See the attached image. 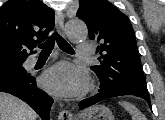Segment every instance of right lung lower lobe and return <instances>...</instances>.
I'll use <instances>...</instances> for the list:
<instances>
[{"instance_id": "obj_1", "label": "right lung lower lobe", "mask_w": 165, "mask_h": 120, "mask_svg": "<svg viewBox=\"0 0 165 120\" xmlns=\"http://www.w3.org/2000/svg\"><path fill=\"white\" fill-rule=\"evenodd\" d=\"M0 92L19 97L31 106L42 120H50L53 99L37 88L36 80L29 73L0 72Z\"/></svg>"}]
</instances>
